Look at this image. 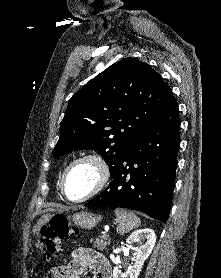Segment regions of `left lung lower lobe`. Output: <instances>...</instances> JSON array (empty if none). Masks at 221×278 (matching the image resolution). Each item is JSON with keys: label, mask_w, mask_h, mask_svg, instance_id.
I'll return each mask as SVG.
<instances>
[{"label": "left lung lower lobe", "mask_w": 221, "mask_h": 278, "mask_svg": "<svg viewBox=\"0 0 221 278\" xmlns=\"http://www.w3.org/2000/svg\"><path fill=\"white\" fill-rule=\"evenodd\" d=\"M179 129L175 102L125 149L111 172L107 189L85 206L128 208L167 221L180 145Z\"/></svg>", "instance_id": "left-lung-lower-lobe-1"}]
</instances>
